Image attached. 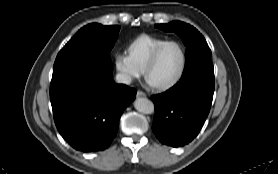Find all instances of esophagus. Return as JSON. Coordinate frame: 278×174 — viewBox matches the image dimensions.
I'll return each instance as SVG.
<instances>
[{
  "label": "esophagus",
  "mask_w": 278,
  "mask_h": 174,
  "mask_svg": "<svg viewBox=\"0 0 278 174\" xmlns=\"http://www.w3.org/2000/svg\"><path fill=\"white\" fill-rule=\"evenodd\" d=\"M137 95H144V93L141 92V91H138V92H137Z\"/></svg>",
  "instance_id": "esophagus-1"
}]
</instances>
